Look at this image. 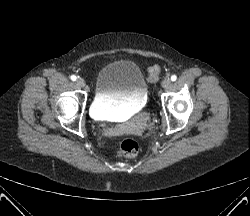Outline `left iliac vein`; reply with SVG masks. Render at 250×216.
<instances>
[{
	"instance_id": "4c4485c4",
	"label": "left iliac vein",
	"mask_w": 250,
	"mask_h": 216,
	"mask_svg": "<svg viewBox=\"0 0 250 216\" xmlns=\"http://www.w3.org/2000/svg\"><path fill=\"white\" fill-rule=\"evenodd\" d=\"M170 86H171V80H170L169 78L163 80V82H162V87H163V88H168V87H170Z\"/></svg>"
}]
</instances>
